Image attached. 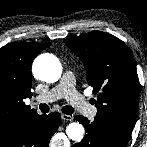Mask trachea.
<instances>
[{
	"label": "trachea",
	"instance_id": "obj_1",
	"mask_svg": "<svg viewBox=\"0 0 147 147\" xmlns=\"http://www.w3.org/2000/svg\"><path fill=\"white\" fill-rule=\"evenodd\" d=\"M39 109L42 113H48L50 108L47 104H40ZM62 112L67 115H72L74 112V109L71 106H64L62 108Z\"/></svg>",
	"mask_w": 147,
	"mask_h": 147
}]
</instances>
